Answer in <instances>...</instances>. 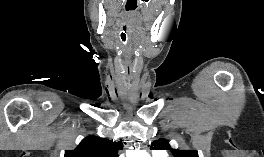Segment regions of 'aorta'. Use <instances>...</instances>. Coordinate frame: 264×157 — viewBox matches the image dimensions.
Wrapping results in <instances>:
<instances>
[{"label":"aorta","mask_w":264,"mask_h":157,"mask_svg":"<svg viewBox=\"0 0 264 157\" xmlns=\"http://www.w3.org/2000/svg\"><path fill=\"white\" fill-rule=\"evenodd\" d=\"M126 155L127 157H148V154L141 150H130Z\"/></svg>","instance_id":"1"}]
</instances>
